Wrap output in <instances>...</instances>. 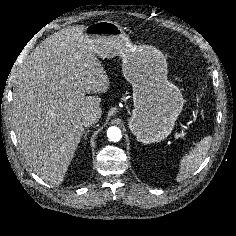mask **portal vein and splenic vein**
Here are the masks:
<instances>
[{
    "mask_svg": "<svg viewBox=\"0 0 236 236\" xmlns=\"http://www.w3.org/2000/svg\"><path fill=\"white\" fill-rule=\"evenodd\" d=\"M176 136H177L178 138L185 139V137H184L183 134H176Z\"/></svg>",
    "mask_w": 236,
    "mask_h": 236,
    "instance_id": "18ae733b",
    "label": "portal vein and splenic vein"
}]
</instances>
